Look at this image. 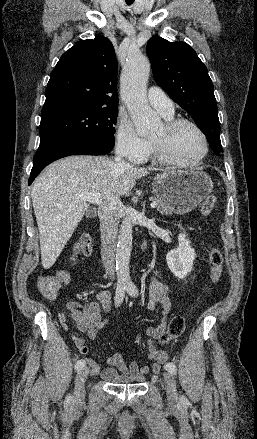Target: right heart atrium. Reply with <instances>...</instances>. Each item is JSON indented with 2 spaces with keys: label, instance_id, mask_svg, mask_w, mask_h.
Segmentation results:
<instances>
[{
  "label": "right heart atrium",
  "instance_id": "obj_1",
  "mask_svg": "<svg viewBox=\"0 0 257 439\" xmlns=\"http://www.w3.org/2000/svg\"><path fill=\"white\" fill-rule=\"evenodd\" d=\"M116 152L133 162L143 161L149 152L148 139L140 136L132 121L124 116L117 120L115 129Z\"/></svg>",
  "mask_w": 257,
  "mask_h": 439
}]
</instances>
